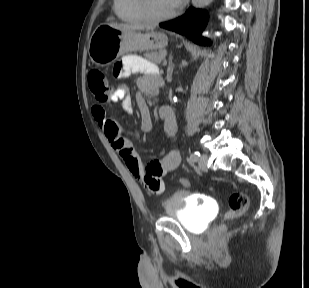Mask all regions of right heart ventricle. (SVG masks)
Masks as SVG:
<instances>
[{
  "instance_id": "e07e8e85",
  "label": "right heart ventricle",
  "mask_w": 309,
  "mask_h": 288,
  "mask_svg": "<svg viewBox=\"0 0 309 288\" xmlns=\"http://www.w3.org/2000/svg\"><path fill=\"white\" fill-rule=\"evenodd\" d=\"M114 11L119 19L132 24H144L148 20L143 16L138 0H114Z\"/></svg>"
}]
</instances>
